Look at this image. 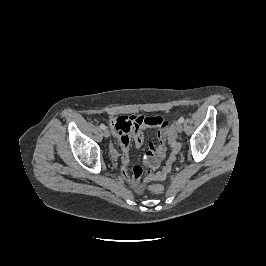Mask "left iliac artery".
I'll return each instance as SVG.
<instances>
[{
    "mask_svg": "<svg viewBox=\"0 0 266 266\" xmlns=\"http://www.w3.org/2000/svg\"><path fill=\"white\" fill-rule=\"evenodd\" d=\"M178 121H179L180 123H183V122H184V118H183V117H180Z\"/></svg>",
    "mask_w": 266,
    "mask_h": 266,
    "instance_id": "44dca946",
    "label": "left iliac artery"
}]
</instances>
